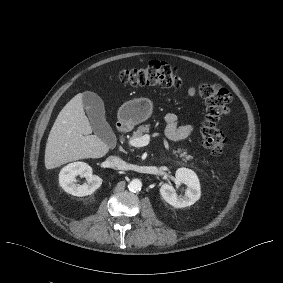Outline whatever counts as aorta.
Returning <instances> with one entry per match:
<instances>
[{"mask_svg":"<svg viewBox=\"0 0 283 283\" xmlns=\"http://www.w3.org/2000/svg\"><path fill=\"white\" fill-rule=\"evenodd\" d=\"M142 182L139 179H133L129 182L128 188L131 192H137L141 190Z\"/></svg>","mask_w":283,"mask_h":283,"instance_id":"762f6f07","label":"aorta"}]
</instances>
